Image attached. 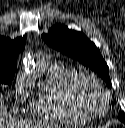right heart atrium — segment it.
<instances>
[{
  "label": "right heart atrium",
  "mask_w": 125,
  "mask_h": 128,
  "mask_svg": "<svg viewBox=\"0 0 125 128\" xmlns=\"http://www.w3.org/2000/svg\"><path fill=\"white\" fill-rule=\"evenodd\" d=\"M16 91L19 95H27L31 91V82L25 74H19L16 80Z\"/></svg>",
  "instance_id": "obj_1"
}]
</instances>
